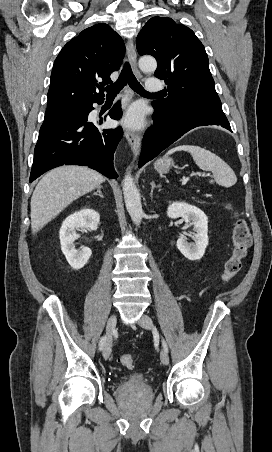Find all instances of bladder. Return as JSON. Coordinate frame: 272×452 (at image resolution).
Masks as SVG:
<instances>
[{
	"mask_svg": "<svg viewBox=\"0 0 272 452\" xmlns=\"http://www.w3.org/2000/svg\"><path fill=\"white\" fill-rule=\"evenodd\" d=\"M124 384L148 387L150 385V379L147 375L142 373H133L123 380Z\"/></svg>",
	"mask_w": 272,
	"mask_h": 452,
	"instance_id": "obj_1",
	"label": "bladder"
}]
</instances>
